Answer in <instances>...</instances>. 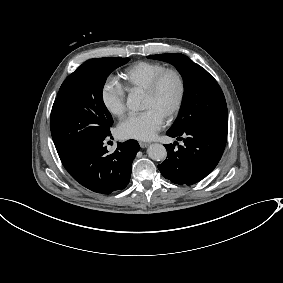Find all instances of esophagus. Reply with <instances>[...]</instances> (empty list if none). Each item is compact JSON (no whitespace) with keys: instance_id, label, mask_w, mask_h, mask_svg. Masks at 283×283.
<instances>
[{"instance_id":"1","label":"esophagus","mask_w":283,"mask_h":283,"mask_svg":"<svg viewBox=\"0 0 283 283\" xmlns=\"http://www.w3.org/2000/svg\"><path fill=\"white\" fill-rule=\"evenodd\" d=\"M139 145L141 148H146L147 146H149V143L147 142H139Z\"/></svg>"}]
</instances>
